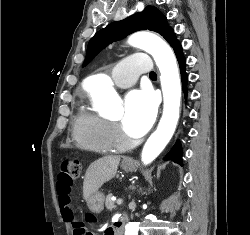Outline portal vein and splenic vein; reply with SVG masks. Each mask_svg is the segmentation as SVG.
Wrapping results in <instances>:
<instances>
[{"mask_svg":"<svg viewBox=\"0 0 250 235\" xmlns=\"http://www.w3.org/2000/svg\"><path fill=\"white\" fill-rule=\"evenodd\" d=\"M116 203H117L118 205L122 204V199H118V200L116 201Z\"/></svg>","mask_w":250,"mask_h":235,"instance_id":"obj_1","label":"portal vein and splenic vein"}]
</instances>
